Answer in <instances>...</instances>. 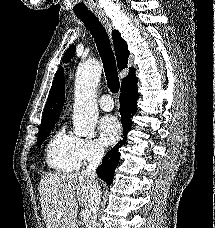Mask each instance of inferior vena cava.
Returning <instances> with one entry per match:
<instances>
[{"label":"inferior vena cava","instance_id":"602c4592","mask_svg":"<svg viewBox=\"0 0 215 228\" xmlns=\"http://www.w3.org/2000/svg\"><path fill=\"white\" fill-rule=\"evenodd\" d=\"M104 156V150L103 148H95L93 150L92 156H89L87 158L88 160V166H86V170H83L81 176H88L90 180H92L91 184V204H90V210H91V216L89 218V222H87V228H97L98 224L96 222L97 220V212L99 210V204L101 202V188L100 184H98L96 180V170L98 166H100V162Z\"/></svg>","mask_w":215,"mask_h":228}]
</instances>
